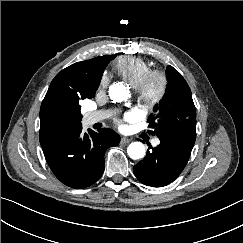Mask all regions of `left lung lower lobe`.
<instances>
[{
    "mask_svg": "<svg viewBox=\"0 0 243 243\" xmlns=\"http://www.w3.org/2000/svg\"><path fill=\"white\" fill-rule=\"evenodd\" d=\"M143 160L133 167L137 179L148 186L163 187L173 182L185 168L192 149L176 141L160 139Z\"/></svg>",
    "mask_w": 243,
    "mask_h": 243,
    "instance_id": "left-lung-lower-lobe-1",
    "label": "left lung lower lobe"
}]
</instances>
